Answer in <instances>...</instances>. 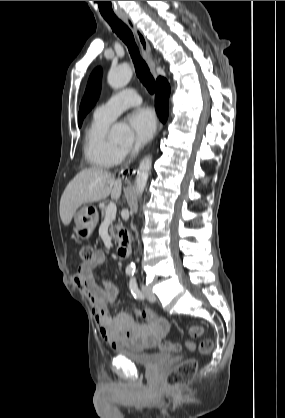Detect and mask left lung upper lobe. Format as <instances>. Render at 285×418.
Returning a JSON list of instances; mask_svg holds the SVG:
<instances>
[{
    "label": "left lung upper lobe",
    "mask_w": 285,
    "mask_h": 418,
    "mask_svg": "<svg viewBox=\"0 0 285 418\" xmlns=\"http://www.w3.org/2000/svg\"><path fill=\"white\" fill-rule=\"evenodd\" d=\"M101 77L102 71L101 68H96L87 84V88L84 94V97L81 102V106L79 109V126L82 124L83 118L87 115V113L94 107L97 99L99 98L100 89H101Z\"/></svg>",
    "instance_id": "1"
}]
</instances>
